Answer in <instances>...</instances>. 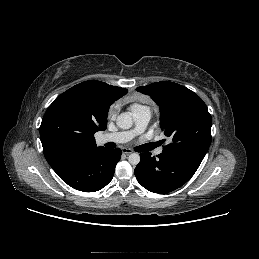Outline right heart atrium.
I'll use <instances>...</instances> for the list:
<instances>
[{
	"label": "right heart atrium",
	"mask_w": 259,
	"mask_h": 259,
	"mask_svg": "<svg viewBox=\"0 0 259 259\" xmlns=\"http://www.w3.org/2000/svg\"><path fill=\"white\" fill-rule=\"evenodd\" d=\"M114 110H115V107H112L110 113L113 114Z\"/></svg>",
	"instance_id": "obj_1"
}]
</instances>
